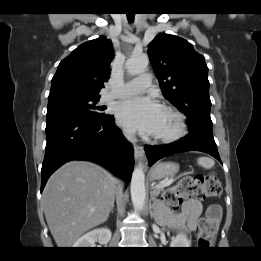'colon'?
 I'll return each mask as SVG.
<instances>
[{
  "label": "colon",
  "mask_w": 261,
  "mask_h": 261,
  "mask_svg": "<svg viewBox=\"0 0 261 261\" xmlns=\"http://www.w3.org/2000/svg\"><path fill=\"white\" fill-rule=\"evenodd\" d=\"M221 192L222 186L217 175L210 172L181 179L175 186L167 189L162 198L168 206L177 210L186 200H204L217 197ZM217 229V220L213 216H203L199 221L198 246L209 247Z\"/></svg>",
  "instance_id": "obj_1"
}]
</instances>
